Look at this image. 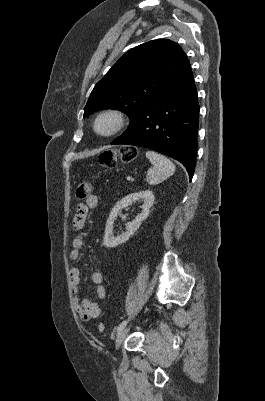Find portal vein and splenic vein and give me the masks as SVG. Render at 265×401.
<instances>
[{
	"mask_svg": "<svg viewBox=\"0 0 265 401\" xmlns=\"http://www.w3.org/2000/svg\"><path fill=\"white\" fill-rule=\"evenodd\" d=\"M125 180H126V181H130V180H131V176H126V177H125Z\"/></svg>",
	"mask_w": 265,
	"mask_h": 401,
	"instance_id": "1",
	"label": "portal vein and splenic vein"
}]
</instances>
